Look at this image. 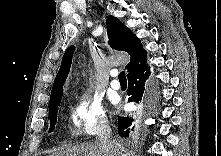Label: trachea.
<instances>
[{
	"label": "trachea",
	"instance_id": "obj_1",
	"mask_svg": "<svg viewBox=\"0 0 221 156\" xmlns=\"http://www.w3.org/2000/svg\"><path fill=\"white\" fill-rule=\"evenodd\" d=\"M119 81H126V75L124 71H121L118 75Z\"/></svg>",
	"mask_w": 221,
	"mask_h": 156
}]
</instances>
